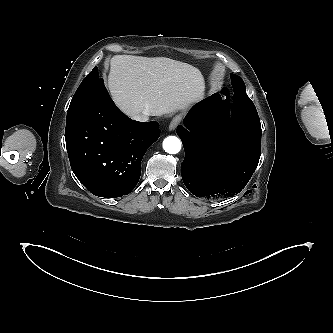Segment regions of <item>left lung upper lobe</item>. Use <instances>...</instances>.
I'll list each match as a JSON object with an SVG mask.
<instances>
[{"mask_svg": "<svg viewBox=\"0 0 333 333\" xmlns=\"http://www.w3.org/2000/svg\"><path fill=\"white\" fill-rule=\"evenodd\" d=\"M231 81L234 90L233 100H236L240 103H245L246 105L253 106L255 108L253 102L246 94V87L243 80L239 76L231 74Z\"/></svg>", "mask_w": 333, "mask_h": 333, "instance_id": "5c2ea615", "label": "left lung upper lobe"}]
</instances>
